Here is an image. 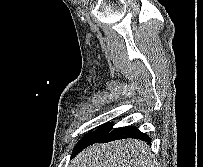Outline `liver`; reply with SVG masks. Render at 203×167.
Returning a JSON list of instances; mask_svg holds the SVG:
<instances>
[{"instance_id": "liver-1", "label": "liver", "mask_w": 203, "mask_h": 167, "mask_svg": "<svg viewBox=\"0 0 203 167\" xmlns=\"http://www.w3.org/2000/svg\"><path fill=\"white\" fill-rule=\"evenodd\" d=\"M149 146L140 140L95 144L76 156L71 167H149Z\"/></svg>"}]
</instances>
